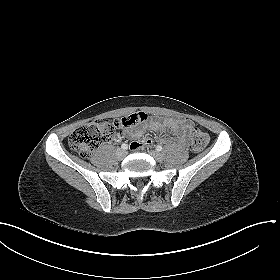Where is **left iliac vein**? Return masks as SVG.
<instances>
[{"instance_id": "1", "label": "left iliac vein", "mask_w": 280, "mask_h": 280, "mask_svg": "<svg viewBox=\"0 0 280 280\" xmlns=\"http://www.w3.org/2000/svg\"><path fill=\"white\" fill-rule=\"evenodd\" d=\"M149 154L157 161V162H161L163 160V156L161 153H159L158 151L155 150H151L149 152Z\"/></svg>"}]
</instances>
